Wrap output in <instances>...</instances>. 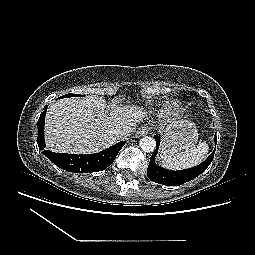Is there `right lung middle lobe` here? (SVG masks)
Segmentation results:
<instances>
[{"label": "right lung middle lobe", "mask_w": 255, "mask_h": 255, "mask_svg": "<svg viewBox=\"0 0 255 255\" xmlns=\"http://www.w3.org/2000/svg\"><path fill=\"white\" fill-rule=\"evenodd\" d=\"M74 96H78V95L69 93V94H65V95L61 96L60 98H68V97H74Z\"/></svg>", "instance_id": "1"}]
</instances>
